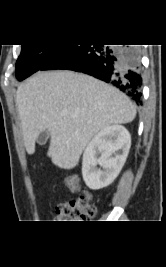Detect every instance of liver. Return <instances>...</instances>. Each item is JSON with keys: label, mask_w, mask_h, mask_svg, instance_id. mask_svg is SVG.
Segmentation results:
<instances>
[{"label": "liver", "mask_w": 166, "mask_h": 267, "mask_svg": "<svg viewBox=\"0 0 166 267\" xmlns=\"http://www.w3.org/2000/svg\"><path fill=\"white\" fill-rule=\"evenodd\" d=\"M16 103L28 154L37 136L51 135L48 157L63 169L77 166L93 136L134 120L136 109L118 89L71 71L38 72L17 89Z\"/></svg>", "instance_id": "obj_1"}]
</instances>
